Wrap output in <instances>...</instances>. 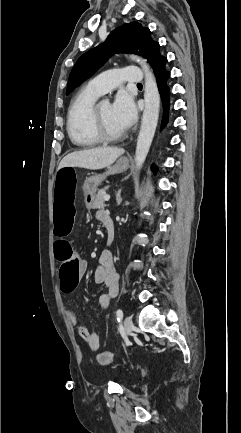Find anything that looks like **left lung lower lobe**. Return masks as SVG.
Masks as SVG:
<instances>
[{
    "instance_id": "0a47b994",
    "label": "left lung lower lobe",
    "mask_w": 241,
    "mask_h": 433,
    "mask_svg": "<svg viewBox=\"0 0 241 433\" xmlns=\"http://www.w3.org/2000/svg\"><path fill=\"white\" fill-rule=\"evenodd\" d=\"M157 80L158 89L161 95L162 104H163V118H162V124H161V130L168 122V113H169V97H170V88L167 84L168 79L170 78V72L165 70L161 73H158L155 75ZM151 170L155 173L157 170V167L152 164Z\"/></svg>"
}]
</instances>
